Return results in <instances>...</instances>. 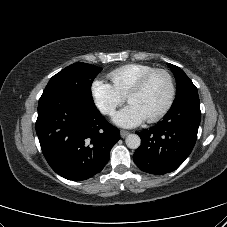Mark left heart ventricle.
Listing matches in <instances>:
<instances>
[{
  "mask_svg": "<svg viewBox=\"0 0 227 227\" xmlns=\"http://www.w3.org/2000/svg\"><path fill=\"white\" fill-rule=\"evenodd\" d=\"M168 97V80L164 74L158 73L150 78L142 90L132 94L128 102L135 105L147 119L164 107Z\"/></svg>",
  "mask_w": 227,
  "mask_h": 227,
  "instance_id": "obj_1",
  "label": "left heart ventricle"
}]
</instances>
